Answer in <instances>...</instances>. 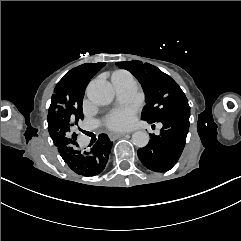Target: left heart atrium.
I'll return each mask as SVG.
<instances>
[{
    "label": "left heart atrium",
    "mask_w": 241,
    "mask_h": 241,
    "mask_svg": "<svg viewBox=\"0 0 241 241\" xmlns=\"http://www.w3.org/2000/svg\"><path fill=\"white\" fill-rule=\"evenodd\" d=\"M134 125V114L132 111H122L116 117L106 119V126L113 131H125Z\"/></svg>",
    "instance_id": "1"
}]
</instances>
